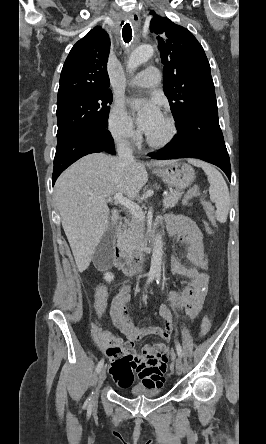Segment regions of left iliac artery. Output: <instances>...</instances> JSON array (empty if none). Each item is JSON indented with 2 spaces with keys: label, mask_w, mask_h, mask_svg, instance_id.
Segmentation results:
<instances>
[{
  "label": "left iliac artery",
  "mask_w": 266,
  "mask_h": 444,
  "mask_svg": "<svg viewBox=\"0 0 266 444\" xmlns=\"http://www.w3.org/2000/svg\"><path fill=\"white\" fill-rule=\"evenodd\" d=\"M156 278H157V283L159 284L160 279H161L160 274H157V275H156ZM176 350H177V354H178V356H179L180 358H182V356H183V352H182V348H181V346H180V344H179L178 342L176 343Z\"/></svg>",
  "instance_id": "44dca946"
}]
</instances>
